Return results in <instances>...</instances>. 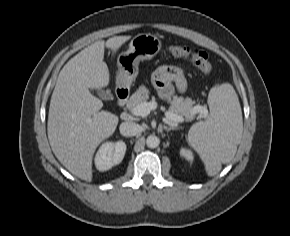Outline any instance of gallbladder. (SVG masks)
I'll return each mask as SVG.
<instances>
[{
    "mask_svg": "<svg viewBox=\"0 0 290 236\" xmlns=\"http://www.w3.org/2000/svg\"><path fill=\"white\" fill-rule=\"evenodd\" d=\"M97 92L102 99H108L110 97V94L104 90H98Z\"/></svg>",
    "mask_w": 290,
    "mask_h": 236,
    "instance_id": "bac80fb5",
    "label": "gallbladder"
}]
</instances>
